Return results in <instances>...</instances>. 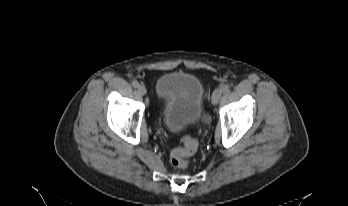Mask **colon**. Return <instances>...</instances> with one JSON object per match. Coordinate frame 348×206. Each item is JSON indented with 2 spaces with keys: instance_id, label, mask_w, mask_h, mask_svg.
Wrapping results in <instances>:
<instances>
[{
  "instance_id": "5ec220e1",
  "label": "colon",
  "mask_w": 348,
  "mask_h": 206,
  "mask_svg": "<svg viewBox=\"0 0 348 206\" xmlns=\"http://www.w3.org/2000/svg\"><path fill=\"white\" fill-rule=\"evenodd\" d=\"M197 149V142L194 138L187 136L182 140V146L174 149L170 155V163L173 167L184 169L188 165V157Z\"/></svg>"
}]
</instances>
